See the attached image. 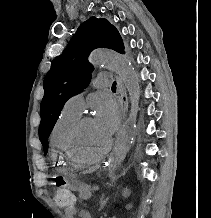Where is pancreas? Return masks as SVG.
Returning a JSON list of instances; mask_svg holds the SVG:
<instances>
[{
	"label": "pancreas",
	"mask_w": 211,
	"mask_h": 218,
	"mask_svg": "<svg viewBox=\"0 0 211 218\" xmlns=\"http://www.w3.org/2000/svg\"><path fill=\"white\" fill-rule=\"evenodd\" d=\"M90 190H92L91 186H81L78 190L79 198H81V200H88L91 196Z\"/></svg>",
	"instance_id": "obj_1"
}]
</instances>
